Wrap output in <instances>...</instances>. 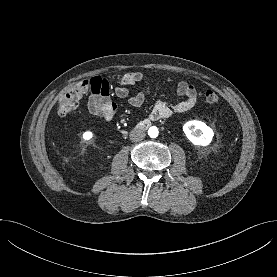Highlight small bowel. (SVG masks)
<instances>
[{
	"instance_id": "1",
	"label": "small bowel",
	"mask_w": 277,
	"mask_h": 277,
	"mask_svg": "<svg viewBox=\"0 0 277 277\" xmlns=\"http://www.w3.org/2000/svg\"><path fill=\"white\" fill-rule=\"evenodd\" d=\"M141 72H127L120 76L119 85L114 88L119 98L127 99L134 107H140L146 99V91L130 95L129 88L143 80ZM157 84L175 85L179 96L184 97L174 105H168L163 101H157L150 113L152 120L170 118L174 113H183L192 109L197 101V90L188 81H178L174 76H165L157 80ZM91 93L87 100V108L91 115L100 117L105 121H111L117 110V104L110 98L111 84L108 79L97 77L90 81Z\"/></svg>"
}]
</instances>
